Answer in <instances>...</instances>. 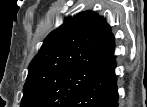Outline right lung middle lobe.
I'll return each instance as SVG.
<instances>
[{"label":"right lung middle lobe","instance_id":"obj_1","mask_svg":"<svg viewBox=\"0 0 147 107\" xmlns=\"http://www.w3.org/2000/svg\"><path fill=\"white\" fill-rule=\"evenodd\" d=\"M98 71L95 68H76L28 76L20 107H64L90 83Z\"/></svg>","mask_w":147,"mask_h":107}]
</instances>
